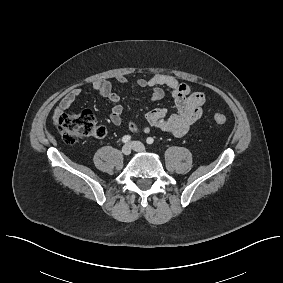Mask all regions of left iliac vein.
Returning a JSON list of instances; mask_svg holds the SVG:
<instances>
[{
    "label": "left iliac vein",
    "mask_w": 283,
    "mask_h": 283,
    "mask_svg": "<svg viewBox=\"0 0 283 283\" xmlns=\"http://www.w3.org/2000/svg\"><path fill=\"white\" fill-rule=\"evenodd\" d=\"M131 147L133 150L137 151V152H144L145 151V146L139 142V141H132L130 143Z\"/></svg>",
    "instance_id": "left-iliac-vein-1"
}]
</instances>
